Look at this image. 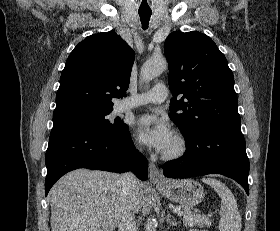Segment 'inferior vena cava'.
I'll return each mask as SVG.
<instances>
[{"label":"inferior vena cava","instance_id":"inferior-vena-cava-1","mask_svg":"<svg viewBox=\"0 0 280 231\" xmlns=\"http://www.w3.org/2000/svg\"><path fill=\"white\" fill-rule=\"evenodd\" d=\"M136 183H138V179L133 173H123L118 179V185L121 189V205H124V209H121V213L118 215V231H137L134 211L130 209L129 201H126L131 185H136Z\"/></svg>","mask_w":280,"mask_h":231}]
</instances>
